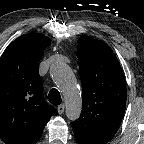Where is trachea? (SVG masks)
Masks as SVG:
<instances>
[{
  "label": "trachea",
  "mask_w": 144,
  "mask_h": 144,
  "mask_svg": "<svg viewBox=\"0 0 144 144\" xmlns=\"http://www.w3.org/2000/svg\"><path fill=\"white\" fill-rule=\"evenodd\" d=\"M48 100L53 105H59L62 102L60 93L57 89H51L48 94Z\"/></svg>",
  "instance_id": "obj_1"
}]
</instances>
